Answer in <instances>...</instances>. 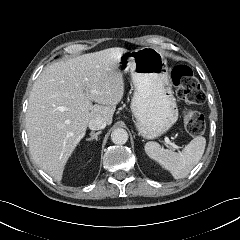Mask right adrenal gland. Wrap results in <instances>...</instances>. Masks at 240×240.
<instances>
[{
  "mask_svg": "<svg viewBox=\"0 0 240 240\" xmlns=\"http://www.w3.org/2000/svg\"><path fill=\"white\" fill-rule=\"evenodd\" d=\"M99 134H101V131H98V132H96V133H95V132H91V133H90L91 137L88 138V139H86V140H87V141H91V140H94V139H95V140L97 141Z\"/></svg>",
  "mask_w": 240,
  "mask_h": 240,
  "instance_id": "obj_1",
  "label": "right adrenal gland"
}]
</instances>
